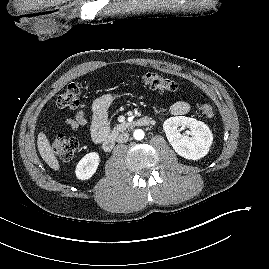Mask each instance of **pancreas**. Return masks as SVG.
I'll return each instance as SVG.
<instances>
[{
	"instance_id": "1",
	"label": "pancreas",
	"mask_w": 269,
	"mask_h": 269,
	"mask_svg": "<svg viewBox=\"0 0 269 269\" xmlns=\"http://www.w3.org/2000/svg\"><path fill=\"white\" fill-rule=\"evenodd\" d=\"M129 126L128 123H121L118 124L114 127L113 132L118 133L120 131H123L124 129H126Z\"/></svg>"
}]
</instances>
